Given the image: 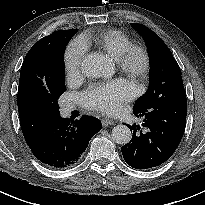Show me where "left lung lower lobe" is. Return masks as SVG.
<instances>
[{"instance_id": "1", "label": "left lung lower lobe", "mask_w": 205, "mask_h": 205, "mask_svg": "<svg viewBox=\"0 0 205 205\" xmlns=\"http://www.w3.org/2000/svg\"><path fill=\"white\" fill-rule=\"evenodd\" d=\"M187 100L170 98L141 113V126H129L133 132L129 143L121 148L127 164L148 169L167 161L178 147L186 126Z\"/></svg>"}]
</instances>
